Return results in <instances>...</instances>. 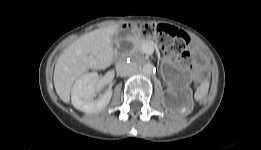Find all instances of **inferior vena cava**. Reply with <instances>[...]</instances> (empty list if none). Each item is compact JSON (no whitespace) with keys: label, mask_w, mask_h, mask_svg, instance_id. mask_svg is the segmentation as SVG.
<instances>
[{"label":"inferior vena cava","mask_w":261,"mask_h":150,"mask_svg":"<svg viewBox=\"0 0 261 150\" xmlns=\"http://www.w3.org/2000/svg\"><path fill=\"white\" fill-rule=\"evenodd\" d=\"M138 67L136 64L127 63L125 61L119 62L116 65V71L118 75L125 77L131 75L137 71Z\"/></svg>","instance_id":"obj_1"}]
</instances>
